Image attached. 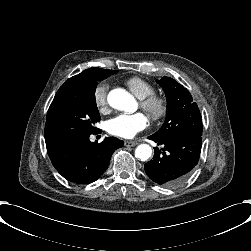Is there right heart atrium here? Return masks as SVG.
I'll use <instances>...</instances> for the list:
<instances>
[{"instance_id":"right-heart-atrium-1","label":"right heart atrium","mask_w":251,"mask_h":251,"mask_svg":"<svg viewBox=\"0 0 251 251\" xmlns=\"http://www.w3.org/2000/svg\"><path fill=\"white\" fill-rule=\"evenodd\" d=\"M93 102L99 111H104L107 107V86L98 84L93 91Z\"/></svg>"}]
</instances>
